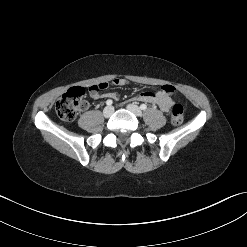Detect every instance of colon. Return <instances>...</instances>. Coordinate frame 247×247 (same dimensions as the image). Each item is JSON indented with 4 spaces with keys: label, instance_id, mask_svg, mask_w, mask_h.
Here are the masks:
<instances>
[{
    "label": "colon",
    "instance_id": "colon-1",
    "mask_svg": "<svg viewBox=\"0 0 247 247\" xmlns=\"http://www.w3.org/2000/svg\"><path fill=\"white\" fill-rule=\"evenodd\" d=\"M106 83L93 85L95 90L106 88ZM85 90L82 87H73L63 94L56 102L55 110L63 121H73L77 113L85 107ZM184 120V108L179 102H175L171 109V123L175 126L182 124Z\"/></svg>",
    "mask_w": 247,
    "mask_h": 247
}]
</instances>
